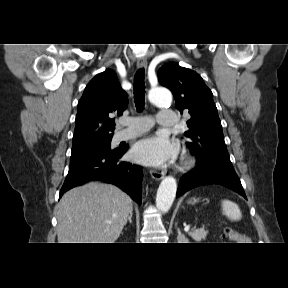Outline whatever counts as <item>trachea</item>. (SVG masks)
Instances as JSON below:
<instances>
[{
    "mask_svg": "<svg viewBox=\"0 0 288 288\" xmlns=\"http://www.w3.org/2000/svg\"><path fill=\"white\" fill-rule=\"evenodd\" d=\"M134 102L136 108L141 112L145 105L144 69H139L134 77Z\"/></svg>",
    "mask_w": 288,
    "mask_h": 288,
    "instance_id": "trachea-1",
    "label": "trachea"
}]
</instances>
